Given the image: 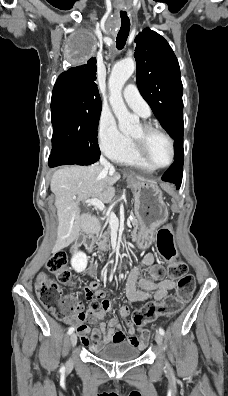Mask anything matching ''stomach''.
Returning a JSON list of instances; mask_svg holds the SVG:
<instances>
[{
	"instance_id": "stomach-1",
	"label": "stomach",
	"mask_w": 228,
	"mask_h": 396,
	"mask_svg": "<svg viewBox=\"0 0 228 396\" xmlns=\"http://www.w3.org/2000/svg\"><path fill=\"white\" fill-rule=\"evenodd\" d=\"M135 199V215L139 232L134 237L140 249H146L153 241L154 233L168 215L162 191L157 184L129 177L127 180Z\"/></svg>"
}]
</instances>
